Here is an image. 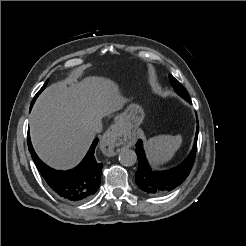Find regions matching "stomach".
<instances>
[{
    "label": "stomach",
    "mask_w": 246,
    "mask_h": 246,
    "mask_svg": "<svg viewBox=\"0 0 246 246\" xmlns=\"http://www.w3.org/2000/svg\"><path fill=\"white\" fill-rule=\"evenodd\" d=\"M144 119V111L137 103H131L119 116V124L127 131L136 130Z\"/></svg>",
    "instance_id": "1"
}]
</instances>
